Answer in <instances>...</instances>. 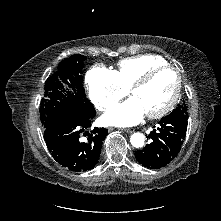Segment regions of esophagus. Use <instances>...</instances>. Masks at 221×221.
Segmentation results:
<instances>
[{"mask_svg":"<svg viewBox=\"0 0 221 221\" xmlns=\"http://www.w3.org/2000/svg\"><path fill=\"white\" fill-rule=\"evenodd\" d=\"M123 132H126V133H132V132H134V130L133 129H131V128H124V129H121Z\"/></svg>","mask_w":221,"mask_h":221,"instance_id":"esophagus-1","label":"esophagus"}]
</instances>
